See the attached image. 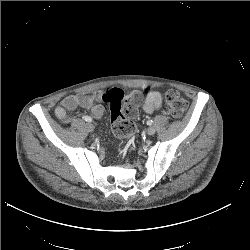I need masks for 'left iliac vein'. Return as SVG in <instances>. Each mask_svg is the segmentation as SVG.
<instances>
[{
  "label": "left iliac vein",
  "instance_id": "obj_1",
  "mask_svg": "<svg viewBox=\"0 0 250 250\" xmlns=\"http://www.w3.org/2000/svg\"><path fill=\"white\" fill-rule=\"evenodd\" d=\"M155 132H156V130H155L154 127H149V128L147 129V134L150 135V136H151V135H154Z\"/></svg>",
  "mask_w": 250,
  "mask_h": 250
}]
</instances>
